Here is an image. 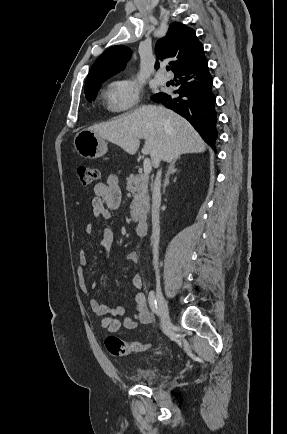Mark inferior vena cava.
I'll list each match as a JSON object with an SVG mask.
<instances>
[{
	"mask_svg": "<svg viewBox=\"0 0 287 434\" xmlns=\"http://www.w3.org/2000/svg\"><path fill=\"white\" fill-rule=\"evenodd\" d=\"M161 169L158 170L152 193V235L151 243L153 246V265L156 271V280H160L158 269L159 241H160V221L159 207L161 203Z\"/></svg>",
	"mask_w": 287,
	"mask_h": 434,
	"instance_id": "602c4592",
	"label": "inferior vena cava"
}]
</instances>
